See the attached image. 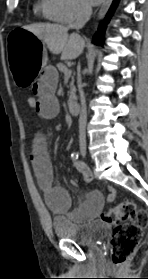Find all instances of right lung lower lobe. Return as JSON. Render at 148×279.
Segmentation results:
<instances>
[{"mask_svg":"<svg viewBox=\"0 0 148 279\" xmlns=\"http://www.w3.org/2000/svg\"><path fill=\"white\" fill-rule=\"evenodd\" d=\"M119 0H113L103 22L99 25V28H98V32L94 35L93 37V40L98 43V44H102L103 43V34H104V31H105V28H106V24L109 23L110 21V18L112 16V14L114 13L115 11V8L117 7V4H118Z\"/></svg>","mask_w":148,"mask_h":279,"instance_id":"obj_1","label":"right lung lower lobe"}]
</instances>
